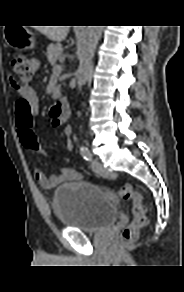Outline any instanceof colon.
I'll return each instance as SVG.
<instances>
[{
    "mask_svg": "<svg viewBox=\"0 0 184 292\" xmlns=\"http://www.w3.org/2000/svg\"><path fill=\"white\" fill-rule=\"evenodd\" d=\"M10 67L15 75L13 85L18 91L15 110L20 141L30 152L48 157L34 130V120L40 112V99L36 91L29 87L37 71L38 61L23 55H15L10 62ZM117 193L121 199L132 203V220L122 231L121 240L125 244L133 243L147 223L142 195L129 184L122 186Z\"/></svg>",
    "mask_w": 184,
    "mask_h": 292,
    "instance_id": "colon-1",
    "label": "colon"
}]
</instances>
